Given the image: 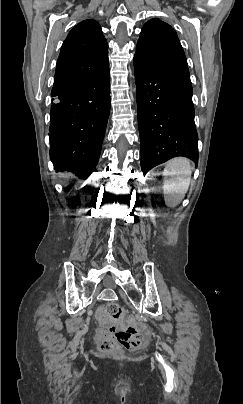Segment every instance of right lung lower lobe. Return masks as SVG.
<instances>
[{"mask_svg":"<svg viewBox=\"0 0 243 404\" xmlns=\"http://www.w3.org/2000/svg\"><path fill=\"white\" fill-rule=\"evenodd\" d=\"M51 96L50 159L56 171L87 179L98 163L110 112L109 68Z\"/></svg>","mask_w":243,"mask_h":404,"instance_id":"1","label":"right lung lower lobe"}]
</instances>
